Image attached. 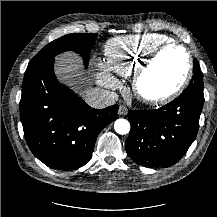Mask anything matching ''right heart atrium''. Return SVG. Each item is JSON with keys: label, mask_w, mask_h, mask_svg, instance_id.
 <instances>
[{"label": "right heart atrium", "mask_w": 217, "mask_h": 217, "mask_svg": "<svg viewBox=\"0 0 217 217\" xmlns=\"http://www.w3.org/2000/svg\"><path fill=\"white\" fill-rule=\"evenodd\" d=\"M97 65L100 68V71L96 75L97 82L110 89L117 88L119 86V81L106 70L101 61L98 60Z\"/></svg>", "instance_id": "right-heart-atrium-1"}]
</instances>
